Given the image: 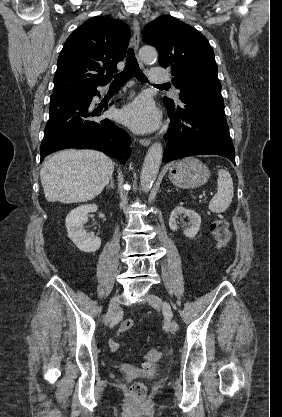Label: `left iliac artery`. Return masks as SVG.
Returning <instances> with one entry per match:
<instances>
[{
	"instance_id": "1",
	"label": "left iliac artery",
	"mask_w": 282,
	"mask_h": 417,
	"mask_svg": "<svg viewBox=\"0 0 282 417\" xmlns=\"http://www.w3.org/2000/svg\"><path fill=\"white\" fill-rule=\"evenodd\" d=\"M163 309H164V312L167 316H169V317L173 316L172 311H171V307L167 302L164 303Z\"/></svg>"
}]
</instances>
